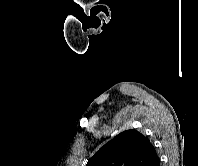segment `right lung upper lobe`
<instances>
[{
    "instance_id": "right-lung-upper-lobe-1",
    "label": "right lung upper lobe",
    "mask_w": 198,
    "mask_h": 166,
    "mask_svg": "<svg viewBox=\"0 0 198 166\" xmlns=\"http://www.w3.org/2000/svg\"><path fill=\"white\" fill-rule=\"evenodd\" d=\"M158 158L151 142L136 130H126L102 146L86 166H150Z\"/></svg>"
}]
</instances>
